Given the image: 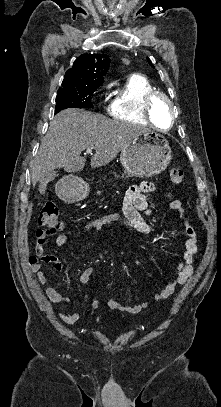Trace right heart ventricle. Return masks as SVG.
Segmentation results:
<instances>
[{
	"label": "right heart ventricle",
	"mask_w": 221,
	"mask_h": 407,
	"mask_svg": "<svg viewBox=\"0 0 221 407\" xmlns=\"http://www.w3.org/2000/svg\"><path fill=\"white\" fill-rule=\"evenodd\" d=\"M154 91L155 87L146 77L132 76L111 98L107 105V113L117 120L147 125L142 106L147 95Z\"/></svg>",
	"instance_id": "obj_1"
}]
</instances>
